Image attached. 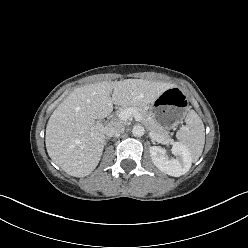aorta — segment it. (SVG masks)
Wrapping results in <instances>:
<instances>
[{
	"label": "aorta",
	"mask_w": 248,
	"mask_h": 248,
	"mask_svg": "<svg viewBox=\"0 0 248 248\" xmlns=\"http://www.w3.org/2000/svg\"><path fill=\"white\" fill-rule=\"evenodd\" d=\"M144 133H145V128L141 125H135L132 129V134L135 137H141L144 135Z\"/></svg>",
	"instance_id": "1"
}]
</instances>
